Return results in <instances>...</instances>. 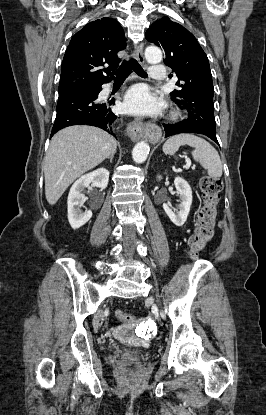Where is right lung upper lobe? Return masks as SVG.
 Returning a JSON list of instances; mask_svg holds the SVG:
<instances>
[{
  "mask_svg": "<svg viewBox=\"0 0 266 415\" xmlns=\"http://www.w3.org/2000/svg\"><path fill=\"white\" fill-rule=\"evenodd\" d=\"M125 47L124 31L118 21L102 18L85 25L72 37L65 52L59 95L111 81L120 62L117 53ZM104 64L109 67L102 69Z\"/></svg>",
  "mask_w": 266,
  "mask_h": 415,
  "instance_id": "1",
  "label": "right lung upper lobe"
}]
</instances>
